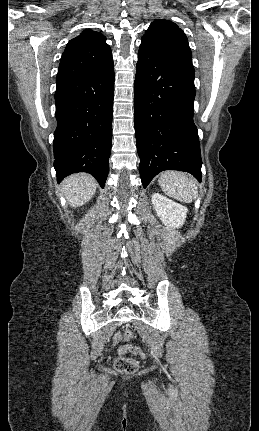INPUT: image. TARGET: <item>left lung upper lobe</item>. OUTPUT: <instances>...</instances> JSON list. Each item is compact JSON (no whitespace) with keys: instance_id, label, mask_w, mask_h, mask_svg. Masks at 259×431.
Instances as JSON below:
<instances>
[{"instance_id":"obj_1","label":"left lung upper lobe","mask_w":259,"mask_h":431,"mask_svg":"<svg viewBox=\"0 0 259 431\" xmlns=\"http://www.w3.org/2000/svg\"><path fill=\"white\" fill-rule=\"evenodd\" d=\"M142 42L157 50L192 64V53L185 33L172 21L156 20L142 37Z\"/></svg>"}]
</instances>
